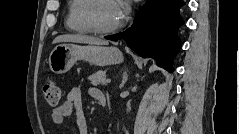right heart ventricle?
<instances>
[{"label": "right heart ventricle", "instance_id": "e07e8e85", "mask_svg": "<svg viewBox=\"0 0 239 134\" xmlns=\"http://www.w3.org/2000/svg\"><path fill=\"white\" fill-rule=\"evenodd\" d=\"M89 0H72L68 7L66 25L69 30L86 34L91 32L84 20V11Z\"/></svg>", "mask_w": 239, "mask_h": 134}]
</instances>
